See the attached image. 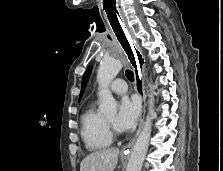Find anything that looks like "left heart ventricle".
<instances>
[{
  "instance_id": "obj_1",
  "label": "left heart ventricle",
  "mask_w": 223,
  "mask_h": 171,
  "mask_svg": "<svg viewBox=\"0 0 223 171\" xmlns=\"http://www.w3.org/2000/svg\"><path fill=\"white\" fill-rule=\"evenodd\" d=\"M115 119H116V117L113 115V116L108 117L107 121L113 125L115 122Z\"/></svg>"
}]
</instances>
